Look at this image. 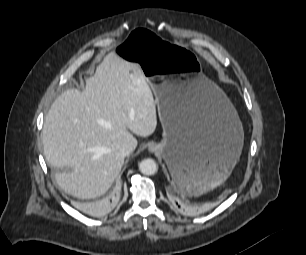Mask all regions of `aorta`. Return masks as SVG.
Wrapping results in <instances>:
<instances>
[{"label": "aorta", "instance_id": "762f6f07", "mask_svg": "<svg viewBox=\"0 0 306 255\" xmlns=\"http://www.w3.org/2000/svg\"><path fill=\"white\" fill-rule=\"evenodd\" d=\"M139 170L145 175H154L158 171V165L155 160L147 158L140 162Z\"/></svg>", "mask_w": 306, "mask_h": 255}]
</instances>
